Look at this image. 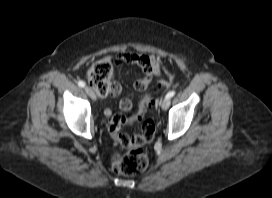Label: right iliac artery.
Wrapping results in <instances>:
<instances>
[{"label": "right iliac artery", "instance_id": "right-iliac-artery-1", "mask_svg": "<svg viewBox=\"0 0 272 198\" xmlns=\"http://www.w3.org/2000/svg\"><path fill=\"white\" fill-rule=\"evenodd\" d=\"M78 86L79 87H85V83L83 81H78Z\"/></svg>", "mask_w": 272, "mask_h": 198}]
</instances>
